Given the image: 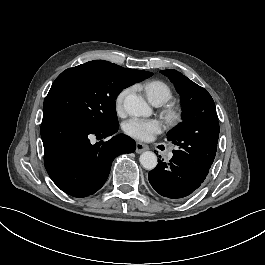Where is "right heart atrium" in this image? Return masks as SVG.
<instances>
[{"mask_svg": "<svg viewBox=\"0 0 265 265\" xmlns=\"http://www.w3.org/2000/svg\"><path fill=\"white\" fill-rule=\"evenodd\" d=\"M129 91L127 89H122L119 93V97L116 102V116L119 119H124L127 116V111L125 110L126 100L128 99Z\"/></svg>", "mask_w": 265, "mask_h": 265, "instance_id": "1", "label": "right heart atrium"}]
</instances>
